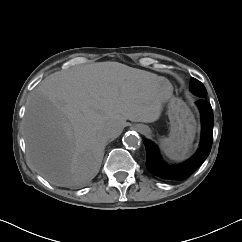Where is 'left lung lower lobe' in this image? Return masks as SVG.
Here are the masks:
<instances>
[{
    "instance_id": "1",
    "label": "left lung lower lobe",
    "mask_w": 242,
    "mask_h": 242,
    "mask_svg": "<svg viewBox=\"0 0 242 242\" xmlns=\"http://www.w3.org/2000/svg\"><path fill=\"white\" fill-rule=\"evenodd\" d=\"M202 117V138L197 153L180 165H167L162 160L154 143L144 139L146 167L154 175L166 180H185L205 161L212 147L213 111L205 98L196 101Z\"/></svg>"
}]
</instances>
